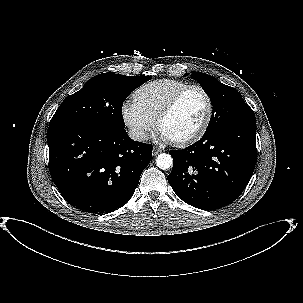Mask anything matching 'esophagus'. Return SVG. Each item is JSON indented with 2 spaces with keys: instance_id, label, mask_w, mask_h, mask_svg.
I'll return each mask as SVG.
<instances>
[{
  "instance_id": "1",
  "label": "esophagus",
  "mask_w": 303,
  "mask_h": 303,
  "mask_svg": "<svg viewBox=\"0 0 303 303\" xmlns=\"http://www.w3.org/2000/svg\"><path fill=\"white\" fill-rule=\"evenodd\" d=\"M163 150L158 147H153V155L156 156L161 153Z\"/></svg>"
}]
</instances>
